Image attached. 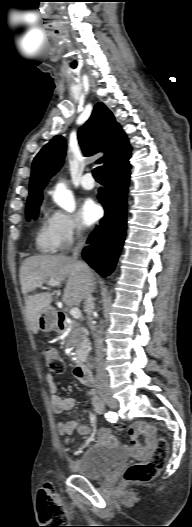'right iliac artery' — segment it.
<instances>
[{"mask_svg": "<svg viewBox=\"0 0 192 527\" xmlns=\"http://www.w3.org/2000/svg\"><path fill=\"white\" fill-rule=\"evenodd\" d=\"M105 417L112 425H116L117 421L121 419V416L119 414H116L114 416L112 412L106 413Z\"/></svg>", "mask_w": 192, "mask_h": 527, "instance_id": "1", "label": "right iliac artery"}]
</instances>
